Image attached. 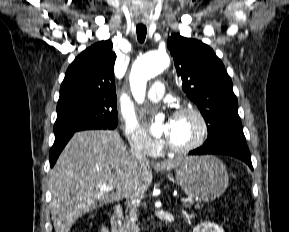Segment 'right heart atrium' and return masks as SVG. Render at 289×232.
Listing matches in <instances>:
<instances>
[{"label":"right heart atrium","mask_w":289,"mask_h":232,"mask_svg":"<svg viewBox=\"0 0 289 232\" xmlns=\"http://www.w3.org/2000/svg\"><path fill=\"white\" fill-rule=\"evenodd\" d=\"M123 129L132 150L150 156L159 152L160 141L151 137L136 120L124 118Z\"/></svg>","instance_id":"d8ad5b80"}]
</instances>
